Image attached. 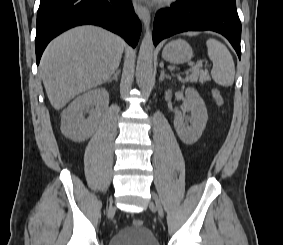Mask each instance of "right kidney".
<instances>
[{
	"instance_id": "ca27d5eb",
	"label": "right kidney",
	"mask_w": 283,
	"mask_h": 245,
	"mask_svg": "<svg viewBox=\"0 0 283 245\" xmlns=\"http://www.w3.org/2000/svg\"><path fill=\"white\" fill-rule=\"evenodd\" d=\"M109 94L103 88L93 89L78 96L62 114L61 132L75 142L87 140L94 132V125L108 107ZM84 112L89 113L87 119Z\"/></svg>"
}]
</instances>
